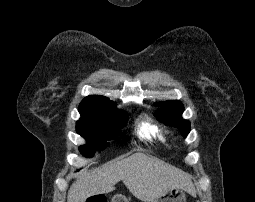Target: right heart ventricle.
Listing matches in <instances>:
<instances>
[{
	"mask_svg": "<svg viewBox=\"0 0 255 202\" xmlns=\"http://www.w3.org/2000/svg\"><path fill=\"white\" fill-rule=\"evenodd\" d=\"M140 134L146 138H157L161 141L165 139V135L161 128L151 122L142 123Z\"/></svg>",
	"mask_w": 255,
	"mask_h": 202,
	"instance_id": "1",
	"label": "right heart ventricle"
}]
</instances>
